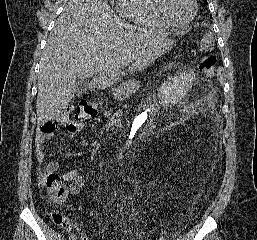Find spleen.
Listing matches in <instances>:
<instances>
[{"label":"spleen","mask_w":257,"mask_h":240,"mask_svg":"<svg viewBox=\"0 0 257 240\" xmlns=\"http://www.w3.org/2000/svg\"><path fill=\"white\" fill-rule=\"evenodd\" d=\"M221 72H222V69H219L218 70V74L221 75Z\"/></svg>","instance_id":"obj_1"}]
</instances>
